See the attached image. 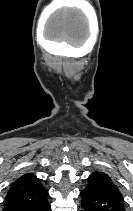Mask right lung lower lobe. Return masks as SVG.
Wrapping results in <instances>:
<instances>
[{
  "label": "right lung lower lobe",
  "instance_id": "right-lung-lower-lobe-1",
  "mask_svg": "<svg viewBox=\"0 0 133 211\" xmlns=\"http://www.w3.org/2000/svg\"><path fill=\"white\" fill-rule=\"evenodd\" d=\"M47 197H48V195L41 202L34 204V205H32L26 209H23L21 211H51V208L48 204Z\"/></svg>",
  "mask_w": 133,
  "mask_h": 211
}]
</instances>
